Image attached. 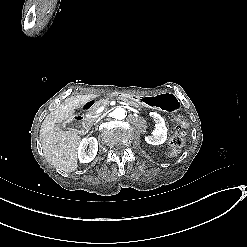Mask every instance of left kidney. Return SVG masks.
I'll return each mask as SVG.
<instances>
[{
  "mask_svg": "<svg viewBox=\"0 0 247 247\" xmlns=\"http://www.w3.org/2000/svg\"><path fill=\"white\" fill-rule=\"evenodd\" d=\"M151 117L156 122V127L153 131L154 135L150 137L146 136L144 140L146 143L152 146L162 145L167 139V127L164 123V120L159 115L151 113Z\"/></svg>",
  "mask_w": 247,
  "mask_h": 247,
  "instance_id": "left-kidney-1",
  "label": "left kidney"
}]
</instances>
